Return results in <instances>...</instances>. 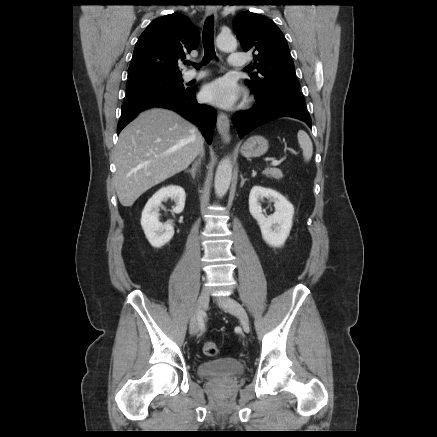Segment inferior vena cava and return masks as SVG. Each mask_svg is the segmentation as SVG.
I'll list each match as a JSON object with an SVG mask.
<instances>
[{
  "label": "inferior vena cava",
  "mask_w": 437,
  "mask_h": 437,
  "mask_svg": "<svg viewBox=\"0 0 437 437\" xmlns=\"http://www.w3.org/2000/svg\"><path fill=\"white\" fill-rule=\"evenodd\" d=\"M200 155H201V156L204 155V151H203V149L201 150Z\"/></svg>",
  "instance_id": "1"
}]
</instances>
